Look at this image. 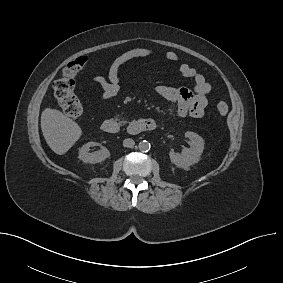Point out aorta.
Masks as SVG:
<instances>
[{"label": "aorta", "mask_w": 283, "mask_h": 283, "mask_svg": "<svg viewBox=\"0 0 283 283\" xmlns=\"http://www.w3.org/2000/svg\"><path fill=\"white\" fill-rule=\"evenodd\" d=\"M139 150L142 151V152H148L151 148V145L148 141L146 140H143V141H140L139 145Z\"/></svg>", "instance_id": "762f6f07"}]
</instances>
